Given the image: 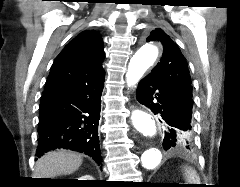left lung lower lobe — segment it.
Listing matches in <instances>:
<instances>
[{
	"mask_svg": "<svg viewBox=\"0 0 240 187\" xmlns=\"http://www.w3.org/2000/svg\"><path fill=\"white\" fill-rule=\"evenodd\" d=\"M136 97L139 103L161 116L160 122L164 125L165 150L176 148L188 152L193 150V139L185 141L182 137L185 132L192 131V97L173 91L160 84L151 75H147L139 82Z\"/></svg>",
	"mask_w": 240,
	"mask_h": 187,
	"instance_id": "0a47b994",
	"label": "left lung lower lobe"
}]
</instances>
